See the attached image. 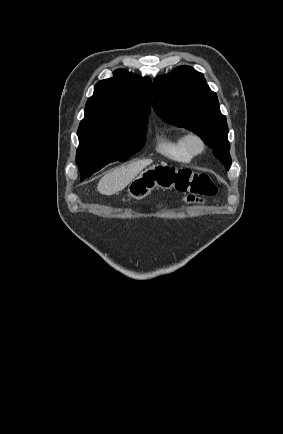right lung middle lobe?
<instances>
[{
  "instance_id": "dd1d6c3e",
  "label": "right lung middle lobe",
  "mask_w": 283,
  "mask_h": 434,
  "mask_svg": "<svg viewBox=\"0 0 283 434\" xmlns=\"http://www.w3.org/2000/svg\"><path fill=\"white\" fill-rule=\"evenodd\" d=\"M147 124L148 121L124 126H79L76 160L82 179L111 162L126 161L138 152L146 140Z\"/></svg>"
}]
</instances>
